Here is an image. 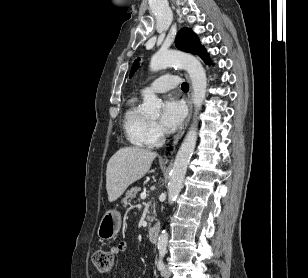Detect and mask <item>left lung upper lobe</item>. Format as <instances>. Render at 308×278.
I'll return each mask as SVG.
<instances>
[{
    "mask_svg": "<svg viewBox=\"0 0 308 278\" xmlns=\"http://www.w3.org/2000/svg\"><path fill=\"white\" fill-rule=\"evenodd\" d=\"M176 47L182 51L189 52L192 54L199 55L206 63H210L208 54L205 49L201 46L199 38L191 29L183 28L179 31L176 36ZM139 58L135 61L132 70L130 72V77L133 76L137 69V63Z\"/></svg>",
    "mask_w": 308,
    "mask_h": 278,
    "instance_id": "1",
    "label": "left lung upper lobe"
}]
</instances>
